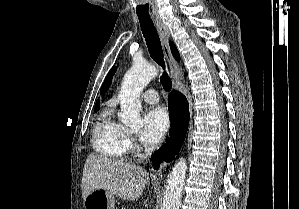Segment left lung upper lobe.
I'll use <instances>...</instances> for the list:
<instances>
[{
	"label": "left lung upper lobe",
	"instance_id": "1",
	"mask_svg": "<svg viewBox=\"0 0 299 209\" xmlns=\"http://www.w3.org/2000/svg\"><path fill=\"white\" fill-rule=\"evenodd\" d=\"M116 71V67L114 66L109 74L107 75L103 85H102V88H101V93H105V91L108 89L109 85L111 84V81H112V76L114 74V72Z\"/></svg>",
	"mask_w": 299,
	"mask_h": 209
}]
</instances>
